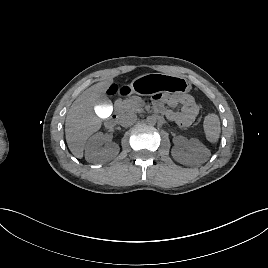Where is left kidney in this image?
<instances>
[{
	"instance_id": "5707ae66",
	"label": "left kidney",
	"mask_w": 268,
	"mask_h": 268,
	"mask_svg": "<svg viewBox=\"0 0 268 268\" xmlns=\"http://www.w3.org/2000/svg\"><path fill=\"white\" fill-rule=\"evenodd\" d=\"M171 154L176 161L184 164L203 163L210 156L209 150L195 138L188 141L176 140Z\"/></svg>"
}]
</instances>
